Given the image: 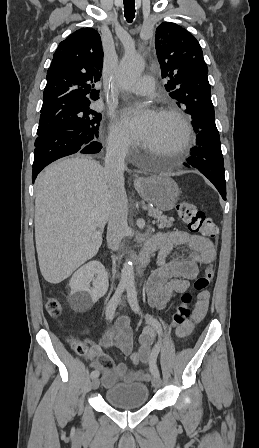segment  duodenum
I'll return each mask as SVG.
<instances>
[{
	"label": "duodenum",
	"instance_id": "obj_1",
	"mask_svg": "<svg viewBox=\"0 0 259 448\" xmlns=\"http://www.w3.org/2000/svg\"><path fill=\"white\" fill-rule=\"evenodd\" d=\"M157 250L156 244L149 240L143 247L140 258L138 259L136 266L139 270H143L149 263L151 255Z\"/></svg>",
	"mask_w": 259,
	"mask_h": 448
}]
</instances>
